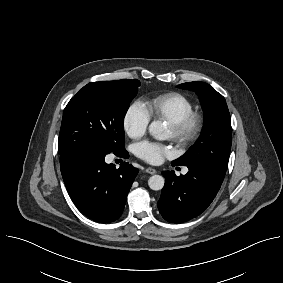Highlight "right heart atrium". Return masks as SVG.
Segmentation results:
<instances>
[{"label":"right heart atrium","mask_w":283,"mask_h":283,"mask_svg":"<svg viewBox=\"0 0 283 283\" xmlns=\"http://www.w3.org/2000/svg\"><path fill=\"white\" fill-rule=\"evenodd\" d=\"M150 116L140 101H135L127 108L123 125L127 135L132 139L142 137L148 128Z\"/></svg>","instance_id":"1"}]
</instances>
